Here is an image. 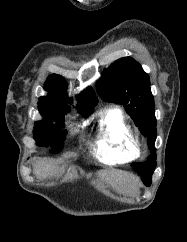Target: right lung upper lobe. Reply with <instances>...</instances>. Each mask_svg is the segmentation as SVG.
I'll list each match as a JSON object with an SVG mask.
<instances>
[{
	"label": "right lung upper lobe",
	"mask_w": 187,
	"mask_h": 242,
	"mask_svg": "<svg viewBox=\"0 0 187 242\" xmlns=\"http://www.w3.org/2000/svg\"><path fill=\"white\" fill-rule=\"evenodd\" d=\"M47 96L39 98L38 108L43 117H57L69 111L71 99L67 96V83L60 75H50L44 83ZM76 109L83 116H88L93 111L98 100L91 87L84 90L77 97Z\"/></svg>",
	"instance_id": "1"
}]
</instances>
